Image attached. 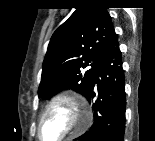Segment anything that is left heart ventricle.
Here are the masks:
<instances>
[{
    "label": "left heart ventricle",
    "mask_w": 155,
    "mask_h": 141,
    "mask_svg": "<svg viewBox=\"0 0 155 141\" xmlns=\"http://www.w3.org/2000/svg\"><path fill=\"white\" fill-rule=\"evenodd\" d=\"M70 127L71 122L68 107L66 105H58L45 116L41 126V134L44 140L53 141L59 138Z\"/></svg>",
    "instance_id": "left-heart-ventricle-1"
}]
</instances>
